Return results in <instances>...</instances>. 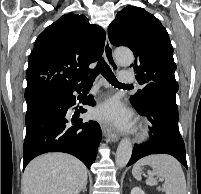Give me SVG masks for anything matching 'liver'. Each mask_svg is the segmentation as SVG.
I'll use <instances>...</instances> for the list:
<instances>
[{
  "label": "liver",
  "instance_id": "liver-1",
  "mask_svg": "<svg viewBox=\"0 0 201 194\" xmlns=\"http://www.w3.org/2000/svg\"><path fill=\"white\" fill-rule=\"evenodd\" d=\"M86 184V166L65 153H48L33 159L22 177L24 194H79Z\"/></svg>",
  "mask_w": 201,
  "mask_h": 194
}]
</instances>
